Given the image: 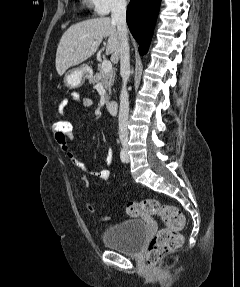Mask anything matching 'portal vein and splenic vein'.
<instances>
[{
	"instance_id": "portal-vein-and-splenic-vein-1",
	"label": "portal vein and splenic vein",
	"mask_w": 240,
	"mask_h": 287,
	"mask_svg": "<svg viewBox=\"0 0 240 287\" xmlns=\"http://www.w3.org/2000/svg\"><path fill=\"white\" fill-rule=\"evenodd\" d=\"M102 67L104 71L108 72L112 70V63L109 60H103Z\"/></svg>"
}]
</instances>
